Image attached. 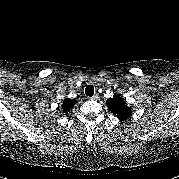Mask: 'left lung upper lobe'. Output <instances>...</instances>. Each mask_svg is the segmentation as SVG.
Wrapping results in <instances>:
<instances>
[{
	"mask_svg": "<svg viewBox=\"0 0 179 179\" xmlns=\"http://www.w3.org/2000/svg\"><path fill=\"white\" fill-rule=\"evenodd\" d=\"M106 104L108 109L116 115L119 120H127L131 115V108L128 107L123 98L118 95L109 98Z\"/></svg>",
	"mask_w": 179,
	"mask_h": 179,
	"instance_id": "left-lung-upper-lobe-1",
	"label": "left lung upper lobe"
}]
</instances>
